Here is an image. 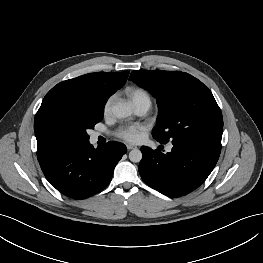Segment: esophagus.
<instances>
[{"mask_svg": "<svg viewBox=\"0 0 263 263\" xmlns=\"http://www.w3.org/2000/svg\"><path fill=\"white\" fill-rule=\"evenodd\" d=\"M126 147H127L128 150H133V149L137 148V146L131 145V144H127Z\"/></svg>", "mask_w": 263, "mask_h": 263, "instance_id": "34e87169", "label": "esophagus"}]
</instances>
